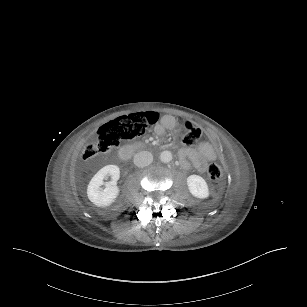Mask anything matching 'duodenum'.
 Instances as JSON below:
<instances>
[{"label": "duodenum", "mask_w": 307, "mask_h": 307, "mask_svg": "<svg viewBox=\"0 0 307 307\" xmlns=\"http://www.w3.org/2000/svg\"><path fill=\"white\" fill-rule=\"evenodd\" d=\"M143 146H144V143L142 141L130 142V143L124 145L123 147H121L117 151V157H118V159L124 161V160L128 159V157L130 156V154L132 152H134L137 149L142 148ZM179 158H181V156H179Z\"/></svg>", "instance_id": "410a0bca"}]
</instances>
